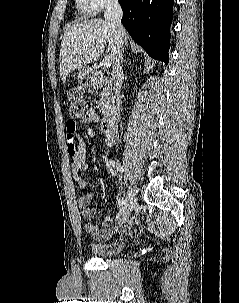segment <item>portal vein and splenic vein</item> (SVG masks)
<instances>
[{
    "mask_svg": "<svg viewBox=\"0 0 239 303\" xmlns=\"http://www.w3.org/2000/svg\"><path fill=\"white\" fill-rule=\"evenodd\" d=\"M102 65L104 68H109L111 66V60L109 57H105L102 61Z\"/></svg>",
    "mask_w": 239,
    "mask_h": 303,
    "instance_id": "1",
    "label": "portal vein and splenic vein"
}]
</instances>
